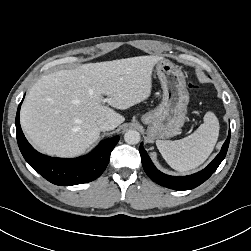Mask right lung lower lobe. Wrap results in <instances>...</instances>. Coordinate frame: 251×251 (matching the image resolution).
<instances>
[{
  "instance_id": "right-lung-lower-lobe-1",
  "label": "right lung lower lobe",
  "mask_w": 251,
  "mask_h": 251,
  "mask_svg": "<svg viewBox=\"0 0 251 251\" xmlns=\"http://www.w3.org/2000/svg\"><path fill=\"white\" fill-rule=\"evenodd\" d=\"M20 106L16 114V134L20 151L25 160L49 182L56 185H77L98 178L108 165L110 154L119 137L102 141L89 155L63 159L53 158L37 152L26 140L19 121Z\"/></svg>"
}]
</instances>
